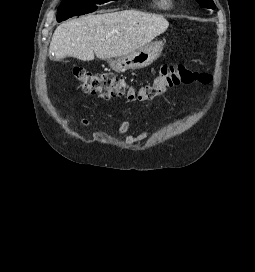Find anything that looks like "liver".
I'll return each instance as SVG.
<instances>
[{
    "mask_svg": "<svg viewBox=\"0 0 255 272\" xmlns=\"http://www.w3.org/2000/svg\"><path fill=\"white\" fill-rule=\"evenodd\" d=\"M168 21L157 14L137 10L87 15L60 24L49 52L56 60L67 56L82 61L120 58L149 44L165 32Z\"/></svg>",
    "mask_w": 255,
    "mask_h": 272,
    "instance_id": "obj_1",
    "label": "liver"
}]
</instances>
